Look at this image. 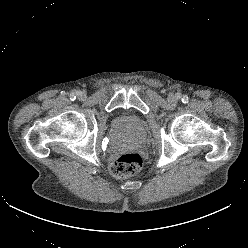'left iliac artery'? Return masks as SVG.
<instances>
[{
	"instance_id": "obj_1",
	"label": "left iliac artery",
	"mask_w": 248,
	"mask_h": 248,
	"mask_svg": "<svg viewBox=\"0 0 248 248\" xmlns=\"http://www.w3.org/2000/svg\"><path fill=\"white\" fill-rule=\"evenodd\" d=\"M188 100H189V98H188L187 95H184V96L182 97V102H183V103H188Z\"/></svg>"
}]
</instances>
